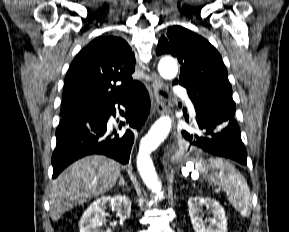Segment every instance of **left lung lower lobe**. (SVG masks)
Segmentation results:
<instances>
[{
  "instance_id": "obj_1",
  "label": "left lung lower lobe",
  "mask_w": 289,
  "mask_h": 232,
  "mask_svg": "<svg viewBox=\"0 0 289 232\" xmlns=\"http://www.w3.org/2000/svg\"><path fill=\"white\" fill-rule=\"evenodd\" d=\"M189 98L196 119L193 130L182 131L184 150L222 156L246 165V150L234 118L235 110L207 98L190 94Z\"/></svg>"
}]
</instances>
